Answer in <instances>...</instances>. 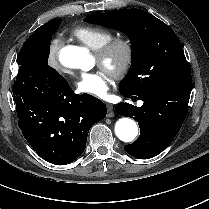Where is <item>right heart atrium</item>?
Returning a JSON list of instances; mask_svg holds the SVG:
<instances>
[{"label":"right heart atrium","mask_w":209,"mask_h":209,"mask_svg":"<svg viewBox=\"0 0 209 209\" xmlns=\"http://www.w3.org/2000/svg\"><path fill=\"white\" fill-rule=\"evenodd\" d=\"M62 45H63L62 39L56 36L50 39L47 46V63L52 69L56 71L61 70V64L59 61V52Z\"/></svg>","instance_id":"right-heart-atrium-1"}]
</instances>
